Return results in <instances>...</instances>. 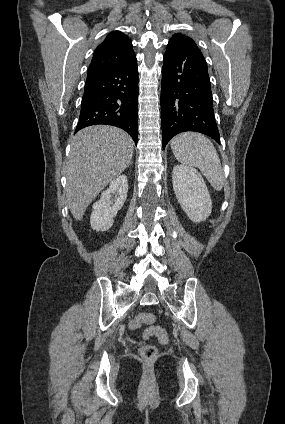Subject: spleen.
Here are the masks:
<instances>
[{
    "instance_id": "spleen-1",
    "label": "spleen",
    "mask_w": 285,
    "mask_h": 424,
    "mask_svg": "<svg viewBox=\"0 0 285 424\" xmlns=\"http://www.w3.org/2000/svg\"><path fill=\"white\" fill-rule=\"evenodd\" d=\"M171 149L179 162L199 168L215 190L223 189L225 179L220 158L207 137L194 132L181 133L172 139Z\"/></svg>"
}]
</instances>
